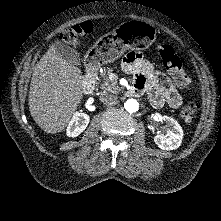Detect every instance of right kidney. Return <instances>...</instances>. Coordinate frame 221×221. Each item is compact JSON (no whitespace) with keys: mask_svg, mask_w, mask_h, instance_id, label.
I'll return each instance as SVG.
<instances>
[{"mask_svg":"<svg viewBox=\"0 0 221 221\" xmlns=\"http://www.w3.org/2000/svg\"><path fill=\"white\" fill-rule=\"evenodd\" d=\"M89 116L84 113L76 112L67 126L66 135L76 137L80 135L89 124Z\"/></svg>","mask_w":221,"mask_h":221,"instance_id":"1","label":"right kidney"}]
</instances>
